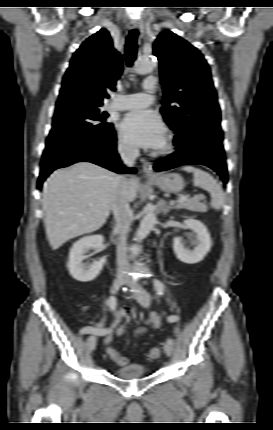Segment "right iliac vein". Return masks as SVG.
<instances>
[{"mask_svg":"<svg viewBox=\"0 0 273 430\" xmlns=\"http://www.w3.org/2000/svg\"><path fill=\"white\" fill-rule=\"evenodd\" d=\"M125 283H126V279L121 276H118L112 284L111 293L112 294L116 293L119 290V288ZM87 345L90 351H94L97 345V337L93 335L91 339L88 341Z\"/></svg>","mask_w":273,"mask_h":430,"instance_id":"obj_1","label":"right iliac vein"}]
</instances>
